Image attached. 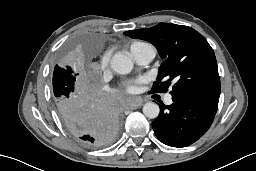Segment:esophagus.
Instances as JSON below:
<instances>
[{"label": "esophagus", "mask_w": 256, "mask_h": 171, "mask_svg": "<svg viewBox=\"0 0 256 171\" xmlns=\"http://www.w3.org/2000/svg\"><path fill=\"white\" fill-rule=\"evenodd\" d=\"M143 104V100L142 99H140V98H135V99H132V100H130L129 102H128V104H127V107L129 108V109H137V108H139L141 105Z\"/></svg>", "instance_id": "1"}]
</instances>
